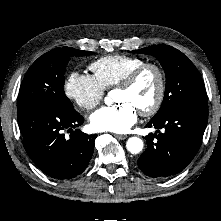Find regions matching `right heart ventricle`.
I'll use <instances>...</instances> for the list:
<instances>
[{
	"label": "right heart ventricle",
	"mask_w": 221,
	"mask_h": 221,
	"mask_svg": "<svg viewBox=\"0 0 221 221\" xmlns=\"http://www.w3.org/2000/svg\"><path fill=\"white\" fill-rule=\"evenodd\" d=\"M143 63L144 60L135 56L108 55L92 62L89 68L103 88L109 89Z\"/></svg>",
	"instance_id": "1"
}]
</instances>
